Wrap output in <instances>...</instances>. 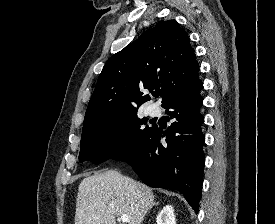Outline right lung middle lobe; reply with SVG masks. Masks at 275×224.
Masks as SVG:
<instances>
[{"instance_id":"1","label":"right lung middle lobe","mask_w":275,"mask_h":224,"mask_svg":"<svg viewBox=\"0 0 275 224\" xmlns=\"http://www.w3.org/2000/svg\"><path fill=\"white\" fill-rule=\"evenodd\" d=\"M146 123L137 117V111H132L83 128L79 161L102 163L125 152L152 129L143 126Z\"/></svg>"}]
</instances>
